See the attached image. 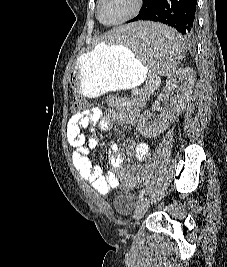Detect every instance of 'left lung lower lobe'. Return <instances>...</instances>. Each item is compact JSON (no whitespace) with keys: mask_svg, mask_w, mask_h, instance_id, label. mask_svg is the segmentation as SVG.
<instances>
[{"mask_svg":"<svg viewBox=\"0 0 227 267\" xmlns=\"http://www.w3.org/2000/svg\"><path fill=\"white\" fill-rule=\"evenodd\" d=\"M196 5L197 0H144L140 13L127 23L142 20L161 22L191 37L196 30ZM153 42L154 39L150 43Z\"/></svg>","mask_w":227,"mask_h":267,"instance_id":"0a47b994","label":"left lung lower lobe"}]
</instances>
